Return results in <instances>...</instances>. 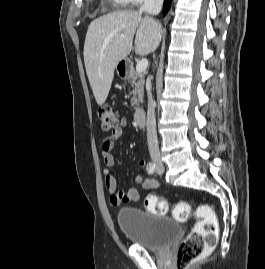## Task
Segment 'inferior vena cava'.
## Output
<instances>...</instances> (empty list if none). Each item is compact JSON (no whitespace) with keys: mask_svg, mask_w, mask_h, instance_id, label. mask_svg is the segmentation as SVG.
Returning a JSON list of instances; mask_svg holds the SVG:
<instances>
[{"mask_svg":"<svg viewBox=\"0 0 265 269\" xmlns=\"http://www.w3.org/2000/svg\"><path fill=\"white\" fill-rule=\"evenodd\" d=\"M163 0H145L140 7L139 13H147L149 15H157L162 8ZM155 103L151 92H148V109H147V142L150 157L152 160L160 159V151L158 146L156 119H155Z\"/></svg>","mask_w":265,"mask_h":269,"instance_id":"inferior-vena-cava-1","label":"inferior vena cava"}]
</instances>
